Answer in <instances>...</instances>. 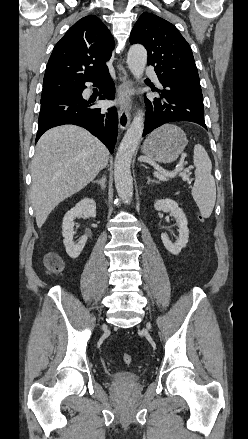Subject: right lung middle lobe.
I'll return each mask as SVG.
<instances>
[{"mask_svg":"<svg viewBox=\"0 0 248 439\" xmlns=\"http://www.w3.org/2000/svg\"><path fill=\"white\" fill-rule=\"evenodd\" d=\"M56 97V96H55ZM52 98H54V97H41V103H44V102H46V101H48V100H50V99H52Z\"/></svg>","mask_w":248,"mask_h":439,"instance_id":"1","label":"right lung middle lobe"}]
</instances>
